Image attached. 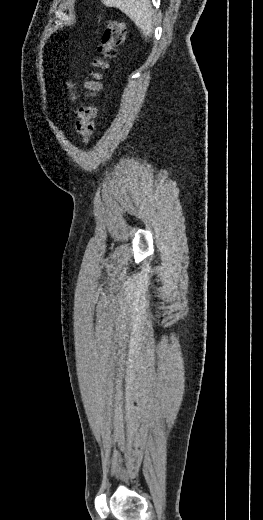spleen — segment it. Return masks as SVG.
Returning a JSON list of instances; mask_svg holds the SVG:
<instances>
[{
	"mask_svg": "<svg viewBox=\"0 0 263 520\" xmlns=\"http://www.w3.org/2000/svg\"><path fill=\"white\" fill-rule=\"evenodd\" d=\"M102 3L120 9L141 29L145 37L152 35L153 9L149 0H102Z\"/></svg>",
	"mask_w": 263,
	"mask_h": 520,
	"instance_id": "3e777b00",
	"label": "spleen"
}]
</instances>
